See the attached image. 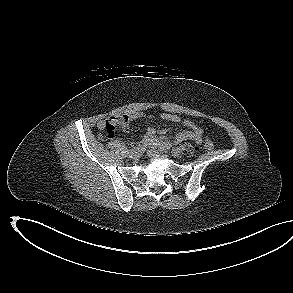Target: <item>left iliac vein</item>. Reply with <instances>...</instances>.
<instances>
[{
  "mask_svg": "<svg viewBox=\"0 0 293 293\" xmlns=\"http://www.w3.org/2000/svg\"><path fill=\"white\" fill-rule=\"evenodd\" d=\"M172 155L174 156V157H180L181 155H182V151H181V149L180 148H174L173 150H172Z\"/></svg>",
  "mask_w": 293,
  "mask_h": 293,
  "instance_id": "1",
  "label": "left iliac vein"
}]
</instances>
